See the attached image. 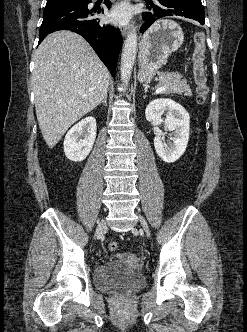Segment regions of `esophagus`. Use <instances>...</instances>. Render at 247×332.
Returning a JSON list of instances; mask_svg holds the SVG:
<instances>
[{
    "mask_svg": "<svg viewBox=\"0 0 247 332\" xmlns=\"http://www.w3.org/2000/svg\"><path fill=\"white\" fill-rule=\"evenodd\" d=\"M121 34L122 36H126L128 34V28L127 27L121 28Z\"/></svg>",
    "mask_w": 247,
    "mask_h": 332,
    "instance_id": "34e87169",
    "label": "esophagus"
}]
</instances>
